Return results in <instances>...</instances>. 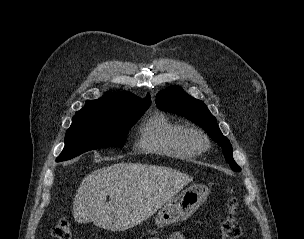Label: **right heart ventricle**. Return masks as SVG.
Masks as SVG:
<instances>
[{
  "mask_svg": "<svg viewBox=\"0 0 304 239\" xmlns=\"http://www.w3.org/2000/svg\"><path fill=\"white\" fill-rule=\"evenodd\" d=\"M186 128L162 113L148 117L139 127V147L147 152L188 159L196 154L182 141Z\"/></svg>",
  "mask_w": 304,
  "mask_h": 239,
  "instance_id": "1",
  "label": "right heart ventricle"
}]
</instances>
